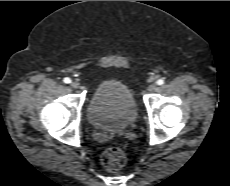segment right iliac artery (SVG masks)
Instances as JSON below:
<instances>
[{"label":"right iliac artery","instance_id":"right-iliac-artery-1","mask_svg":"<svg viewBox=\"0 0 230 186\" xmlns=\"http://www.w3.org/2000/svg\"><path fill=\"white\" fill-rule=\"evenodd\" d=\"M64 83L68 84V83H71V79L66 77L63 79Z\"/></svg>","mask_w":230,"mask_h":186}]
</instances>
